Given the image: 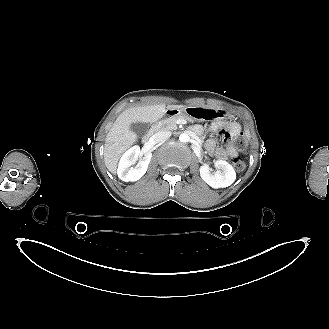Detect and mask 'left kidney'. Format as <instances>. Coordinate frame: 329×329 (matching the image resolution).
<instances>
[{
  "instance_id": "left-kidney-1",
  "label": "left kidney",
  "mask_w": 329,
  "mask_h": 329,
  "mask_svg": "<svg viewBox=\"0 0 329 329\" xmlns=\"http://www.w3.org/2000/svg\"><path fill=\"white\" fill-rule=\"evenodd\" d=\"M214 166L217 169L215 173H211L208 165L200 167L201 178L212 188H225L235 181L236 172L227 161L216 160Z\"/></svg>"
}]
</instances>
